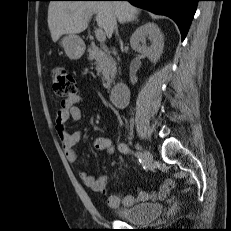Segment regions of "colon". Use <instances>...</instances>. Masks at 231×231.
<instances>
[{"label":"colon","mask_w":231,"mask_h":231,"mask_svg":"<svg viewBox=\"0 0 231 231\" xmlns=\"http://www.w3.org/2000/svg\"><path fill=\"white\" fill-rule=\"evenodd\" d=\"M51 80L54 93L61 98H69L76 93L74 77L62 66H54L51 69Z\"/></svg>","instance_id":"colon-1"}]
</instances>
